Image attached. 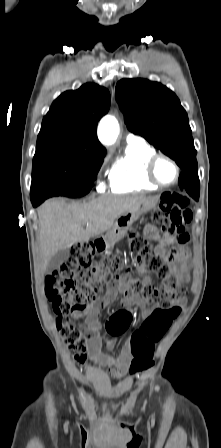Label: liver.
Returning a JSON list of instances; mask_svg holds the SVG:
<instances>
[{"instance_id":"liver-1","label":"liver","mask_w":221,"mask_h":448,"mask_svg":"<svg viewBox=\"0 0 221 448\" xmlns=\"http://www.w3.org/2000/svg\"><path fill=\"white\" fill-rule=\"evenodd\" d=\"M150 199L143 195H104L82 204H67L59 199L46 201L38 209V241L43 269L60 249L102 235L113 227L121 215L137 209Z\"/></svg>"}]
</instances>
